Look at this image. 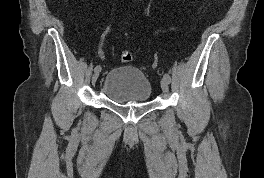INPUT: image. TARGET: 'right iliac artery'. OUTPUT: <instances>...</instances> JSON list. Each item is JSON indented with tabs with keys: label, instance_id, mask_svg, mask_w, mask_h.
<instances>
[{
	"label": "right iliac artery",
	"instance_id": "1",
	"mask_svg": "<svg viewBox=\"0 0 264 178\" xmlns=\"http://www.w3.org/2000/svg\"><path fill=\"white\" fill-rule=\"evenodd\" d=\"M95 72H100L101 71V67L100 65H97L94 69Z\"/></svg>",
	"mask_w": 264,
	"mask_h": 178
}]
</instances>
